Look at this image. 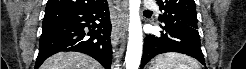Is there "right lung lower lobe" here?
<instances>
[{"label": "right lung lower lobe", "instance_id": "1", "mask_svg": "<svg viewBox=\"0 0 246 69\" xmlns=\"http://www.w3.org/2000/svg\"><path fill=\"white\" fill-rule=\"evenodd\" d=\"M111 27L107 1L84 8L45 10L35 69L59 51L83 52L110 69Z\"/></svg>", "mask_w": 246, "mask_h": 69}]
</instances>
